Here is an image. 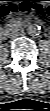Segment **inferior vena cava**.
<instances>
[{
  "label": "inferior vena cava",
  "mask_w": 50,
  "mask_h": 111,
  "mask_svg": "<svg viewBox=\"0 0 50 111\" xmlns=\"http://www.w3.org/2000/svg\"><path fill=\"white\" fill-rule=\"evenodd\" d=\"M12 36H14V37H18V36H23L24 35V30H15V31H13L12 32V34H11Z\"/></svg>",
  "instance_id": "602c4592"
}]
</instances>
